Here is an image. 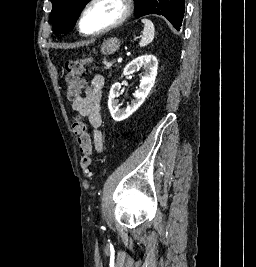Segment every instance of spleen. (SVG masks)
Returning <instances> with one entry per match:
<instances>
[{"instance_id":"3e777b00","label":"spleen","mask_w":256,"mask_h":267,"mask_svg":"<svg viewBox=\"0 0 256 267\" xmlns=\"http://www.w3.org/2000/svg\"><path fill=\"white\" fill-rule=\"evenodd\" d=\"M142 24H144V30L142 32V38L139 42L140 48H144V46H148L154 40L155 36V28L153 22L151 20H141Z\"/></svg>"}]
</instances>
